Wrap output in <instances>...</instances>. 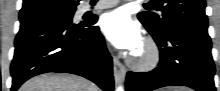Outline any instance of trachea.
Returning <instances> with one entry per match:
<instances>
[{
    "instance_id": "3493384b",
    "label": "trachea",
    "mask_w": 220,
    "mask_h": 91,
    "mask_svg": "<svg viewBox=\"0 0 220 91\" xmlns=\"http://www.w3.org/2000/svg\"><path fill=\"white\" fill-rule=\"evenodd\" d=\"M95 1V0H93ZM145 7H151V5L149 3L144 4Z\"/></svg>"
}]
</instances>
